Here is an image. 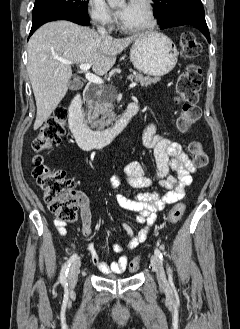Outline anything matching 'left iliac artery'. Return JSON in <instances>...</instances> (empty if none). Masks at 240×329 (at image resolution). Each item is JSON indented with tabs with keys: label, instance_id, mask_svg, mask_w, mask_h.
<instances>
[{
	"label": "left iliac artery",
	"instance_id": "left-iliac-artery-1",
	"mask_svg": "<svg viewBox=\"0 0 240 329\" xmlns=\"http://www.w3.org/2000/svg\"><path fill=\"white\" fill-rule=\"evenodd\" d=\"M155 254H156L160 259H163V254H162V252H161L158 248L155 249ZM167 270H168V274L171 275L172 271H171L170 267H168Z\"/></svg>",
	"mask_w": 240,
	"mask_h": 329
}]
</instances>
